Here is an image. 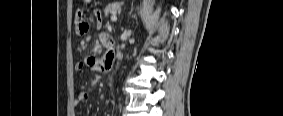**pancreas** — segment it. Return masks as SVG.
<instances>
[{"label":"pancreas","instance_id":"1","mask_svg":"<svg viewBox=\"0 0 283 116\" xmlns=\"http://www.w3.org/2000/svg\"><path fill=\"white\" fill-rule=\"evenodd\" d=\"M121 5L122 4L120 2H115L108 5L104 10L105 16L107 17L109 14H116L117 11L121 8Z\"/></svg>","mask_w":283,"mask_h":116}]
</instances>
